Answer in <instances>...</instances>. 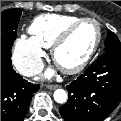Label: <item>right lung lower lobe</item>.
<instances>
[{
    "instance_id": "1",
    "label": "right lung lower lobe",
    "mask_w": 121,
    "mask_h": 121,
    "mask_svg": "<svg viewBox=\"0 0 121 121\" xmlns=\"http://www.w3.org/2000/svg\"><path fill=\"white\" fill-rule=\"evenodd\" d=\"M39 87L16 73L11 51L1 49V121H21Z\"/></svg>"
}]
</instances>
